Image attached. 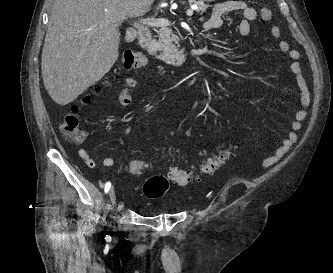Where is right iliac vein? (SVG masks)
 I'll return each instance as SVG.
<instances>
[{"label": "right iliac vein", "instance_id": "1", "mask_svg": "<svg viewBox=\"0 0 333 273\" xmlns=\"http://www.w3.org/2000/svg\"><path fill=\"white\" fill-rule=\"evenodd\" d=\"M109 199H110L112 206H114L115 200H116V194H115L114 188H111V190L109 192Z\"/></svg>", "mask_w": 333, "mask_h": 273}]
</instances>
